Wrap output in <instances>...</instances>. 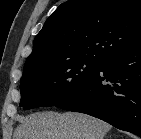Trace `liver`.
Segmentation results:
<instances>
[{"mask_svg": "<svg viewBox=\"0 0 141 139\" xmlns=\"http://www.w3.org/2000/svg\"><path fill=\"white\" fill-rule=\"evenodd\" d=\"M111 126L92 116L38 112L20 119L13 139H104Z\"/></svg>", "mask_w": 141, "mask_h": 139, "instance_id": "6515ba94", "label": "liver"}]
</instances>
